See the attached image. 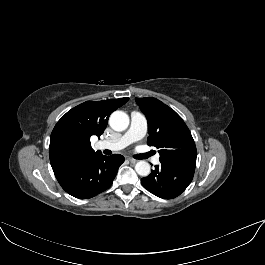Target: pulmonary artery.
I'll return each mask as SVG.
<instances>
[{"instance_id": "e3ab8cb5", "label": "pulmonary artery", "mask_w": 265, "mask_h": 265, "mask_svg": "<svg viewBox=\"0 0 265 265\" xmlns=\"http://www.w3.org/2000/svg\"><path fill=\"white\" fill-rule=\"evenodd\" d=\"M130 118V127L125 134L111 140H102L98 143V146L103 149L116 151L142 139L147 133V121L145 117L138 112H132ZM152 162L158 164L159 155L154 156Z\"/></svg>"}]
</instances>
